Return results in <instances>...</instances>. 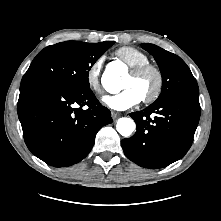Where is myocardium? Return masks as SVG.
<instances>
[{"mask_svg": "<svg viewBox=\"0 0 221 221\" xmlns=\"http://www.w3.org/2000/svg\"><path fill=\"white\" fill-rule=\"evenodd\" d=\"M148 72H151L155 76V85L153 90L147 94L145 97L142 98V101L146 104L152 103L158 99L163 91L164 86V76L161 68L155 64L150 62L144 63L141 65H137L131 67L129 73L135 77L142 76Z\"/></svg>", "mask_w": 221, "mask_h": 221, "instance_id": "myocardium-1", "label": "myocardium"}]
</instances>
